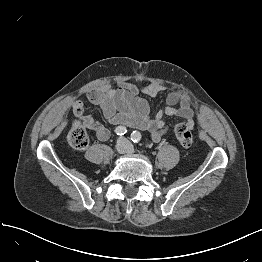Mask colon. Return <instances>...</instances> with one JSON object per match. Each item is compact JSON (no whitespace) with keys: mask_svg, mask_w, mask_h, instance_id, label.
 <instances>
[{"mask_svg":"<svg viewBox=\"0 0 262 262\" xmlns=\"http://www.w3.org/2000/svg\"><path fill=\"white\" fill-rule=\"evenodd\" d=\"M191 128L187 122H180L175 126L176 137L183 147L188 148L192 145ZM68 142L74 149L83 150L89 144V135L80 124L75 123L68 132Z\"/></svg>","mask_w":262,"mask_h":262,"instance_id":"5ec220e1","label":"colon"}]
</instances>
